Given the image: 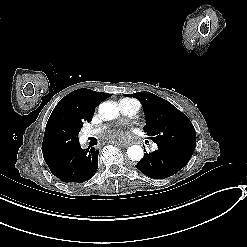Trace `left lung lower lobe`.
Returning a JSON list of instances; mask_svg holds the SVG:
<instances>
[{"label":"left lung lower lobe","mask_w":247,"mask_h":247,"mask_svg":"<svg viewBox=\"0 0 247 247\" xmlns=\"http://www.w3.org/2000/svg\"><path fill=\"white\" fill-rule=\"evenodd\" d=\"M193 153L174 146H160L154 152L144 154L136 168L153 179H164L181 170Z\"/></svg>","instance_id":"left-lung-lower-lobe-1"}]
</instances>
